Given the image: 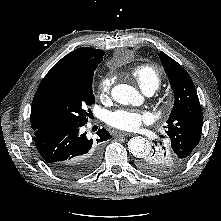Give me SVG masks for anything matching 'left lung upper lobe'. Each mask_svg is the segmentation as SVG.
Wrapping results in <instances>:
<instances>
[{"instance_id":"5c2ea615","label":"left lung upper lobe","mask_w":221,"mask_h":221,"mask_svg":"<svg viewBox=\"0 0 221 221\" xmlns=\"http://www.w3.org/2000/svg\"><path fill=\"white\" fill-rule=\"evenodd\" d=\"M159 58L175 96L167 126H164L166 138L177 156L187 162L201 138L202 109L194 83L186 70L164 52L159 53Z\"/></svg>"}]
</instances>
